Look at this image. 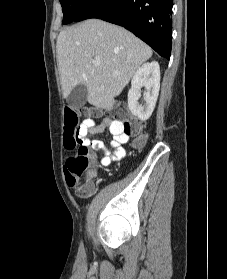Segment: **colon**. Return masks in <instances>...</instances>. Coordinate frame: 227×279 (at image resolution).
I'll list each match as a JSON object with an SVG mask.
<instances>
[{
    "label": "colon",
    "instance_id": "obj_1",
    "mask_svg": "<svg viewBox=\"0 0 227 279\" xmlns=\"http://www.w3.org/2000/svg\"><path fill=\"white\" fill-rule=\"evenodd\" d=\"M116 116L114 121L119 123L127 133L137 135L134 146H141L146 139L141 121L138 119L129 120V110L123 103H119L115 108ZM88 115L89 119H81ZM93 110L67 108L65 112L64 138L69 149L76 145L78 150L69 156L66 161V171L69 174L70 182L78 196L84 197L94 189V183L84 178L85 171L91 166L93 158L87 147V126L88 121L94 118Z\"/></svg>",
    "mask_w": 227,
    "mask_h": 279
}]
</instances>
